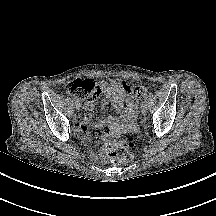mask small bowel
<instances>
[{
	"instance_id": "obj_1",
	"label": "small bowel",
	"mask_w": 216,
	"mask_h": 216,
	"mask_svg": "<svg viewBox=\"0 0 216 216\" xmlns=\"http://www.w3.org/2000/svg\"><path fill=\"white\" fill-rule=\"evenodd\" d=\"M101 87L107 100L101 102L102 106L111 102L119 114V117L109 116L106 119L93 123L91 130L86 124L90 121L91 111L94 103L83 102V112L74 117L75 132L80 138H90L95 141L99 132L103 138L116 137L120 134L130 132L134 129V120L137 115V101L131 93V86L120 79L104 80ZM108 128L106 133L102 130Z\"/></svg>"
}]
</instances>
